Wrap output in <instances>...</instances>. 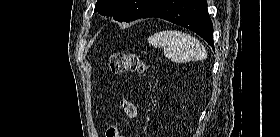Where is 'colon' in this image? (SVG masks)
Returning a JSON list of instances; mask_svg holds the SVG:
<instances>
[{
    "mask_svg": "<svg viewBox=\"0 0 280 137\" xmlns=\"http://www.w3.org/2000/svg\"><path fill=\"white\" fill-rule=\"evenodd\" d=\"M108 72L113 75L125 73L144 74L148 67L135 53H114L108 61ZM106 137H123L117 126H111L105 133Z\"/></svg>",
    "mask_w": 280,
    "mask_h": 137,
    "instance_id": "1",
    "label": "colon"
}]
</instances>
